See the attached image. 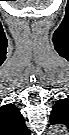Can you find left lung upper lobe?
<instances>
[{"label": "left lung upper lobe", "instance_id": "obj_1", "mask_svg": "<svg viewBox=\"0 0 69 135\" xmlns=\"http://www.w3.org/2000/svg\"><path fill=\"white\" fill-rule=\"evenodd\" d=\"M67 109H68V100L66 99H60L56 102L54 105L49 121L51 124H56L63 122L62 119H64L67 116Z\"/></svg>", "mask_w": 69, "mask_h": 135}]
</instances>
